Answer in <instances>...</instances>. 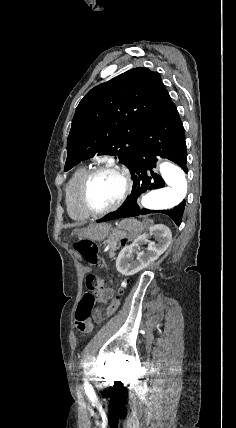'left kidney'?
Listing matches in <instances>:
<instances>
[{
	"label": "left kidney",
	"instance_id": "5707ae66",
	"mask_svg": "<svg viewBox=\"0 0 236 428\" xmlns=\"http://www.w3.org/2000/svg\"><path fill=\"white\" fill-rule=\"evenodd\" d=\"M149 238H156L157 244L150 242ZM171 238L172 234L164 224L151 226L147 234L139 236L131 246H125L118 254L116 260L117 272H120L123 276H133L143 268H147L149 264L155 262L167 250L168 246H170ZM144 244H148V248L145 252H142L140 246H144ZM134 254H136V260Z\"/></svg>",
	"mask_w": 236,
	"mask_h": 428
}]
</instances>
